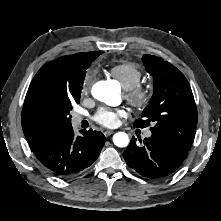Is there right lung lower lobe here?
<instances>
[{
    "label": "right lung lower lobe",
    "instance_id": "1",
    "mask_svg": "<svg viewBox=\"0 0 221 221\" xmlns=\"http://www.w3.org/2000/svg\"><path fill=\"white\" fill-rule=\"evenodd\" d=\"M75 136L72 126L66 127L34 152L42 166L60 178L81 174L98 158L106 138L90 129Z\"/></svg>",
    "mask_w": 221,
    "mask_h": 221
}]
</instances>
